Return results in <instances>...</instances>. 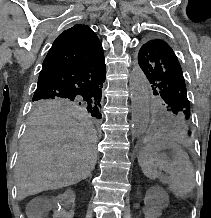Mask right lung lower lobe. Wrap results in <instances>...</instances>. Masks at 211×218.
I'll return each instance as SVG.
<instances>
[{
    "mask_svg": "<svg viewBox=\"0 0 211 218\" xmlns=\"http://www.w3.org/2000/svg\"><path fill=\"white\" fill-rule=\"evenodd\" d=\"M106 79L104 55L98 59L80 62L38 79L33 98H102Z\"/></svg>",
    "mask_w": 211,
    "mask_h": 218,
    "instance_id": "obj_1",
    "label": "right lung lower lobe"
}]
</instances>
